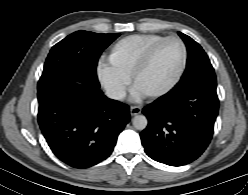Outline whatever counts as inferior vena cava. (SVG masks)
Instances as JSON below:
<instances>
[{"label":"inferior vena cava","instance_id":"inferior-vena-cava-1","mask_svg":"<svg viewBox=\"0 0 248 195\" xmlns=\"http://www.w3.org/2000/svg\"><path fill=\"white\" fill-rule=\"evenodd\" d=\"M105 95L113 100H123L125 97V92L123 90L118 89H107Z\"/></svg>","mask_w":248,"mask_h":195}]
</instances>
